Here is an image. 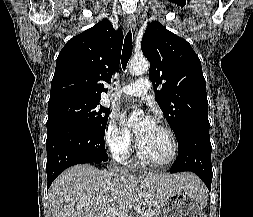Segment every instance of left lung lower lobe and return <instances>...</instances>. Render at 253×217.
Segmentation results:
<instances>
[{
  "label": "left lung lower lobe",
  "mask_w": 253,
  "mask_h": 217,
  "mask_svg": "<svg viewBox=\"0 0 253 217\" xmlns=\"http://www.w3.org/2000/svg\"><path fill=\"white\" fill-rule=\"evenodd\" d=\"M177 140L178 157L173 163L170 172H194L210 190L213 174L209 130L189 128Z\"/></svg>",
  "instance_id": "1"
}]
</instances>
